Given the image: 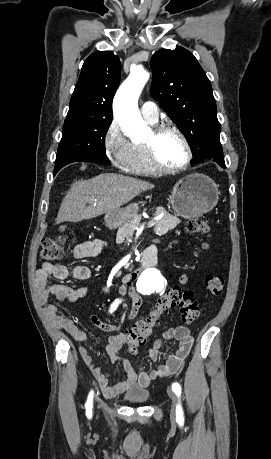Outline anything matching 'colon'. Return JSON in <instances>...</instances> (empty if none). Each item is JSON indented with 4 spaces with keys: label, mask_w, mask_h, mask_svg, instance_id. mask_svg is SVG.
Wrapping results in <instances>:
<instances>
[{
    "label": "colon",
    "mask_w": 271,
    "mask_h": 459,
    "mask_svg": "<svg viewBox=\"0 0 271 459\" xmlns=\"http://www.w3.org/2000/svg\"><path fill=\"white\" fill-rule=\"evenodd\" d=\"M189 232L207 234L209 232V220L205 215L198 216L189 220L186 224ZM64 254V238L48 237L42 241L41 257L46 261H56ZM205 285L213 296H220L224 291L225 281L221 275H211L206 277ZM179 308L182 319L186 323L194 322L199 315L197 301L191 291L182 290L178 287L168 290L156 302L154 309L145 318L138 320L125 333L126 344L129 352L135 353L139 347L144 345L154 328L158 324L159 318L165 311Z\"/></svg>",
    "instance_id": "colon-1"
}]
</instances>
